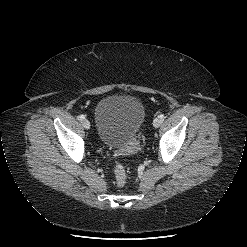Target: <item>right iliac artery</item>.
I'll use <instances>...</instances> for the list:
<instances>
[{
  "label": "right iliac artery",
  "instance_id": "obj_1",
  "mask_svg": "<svg viewBox=\"0 0 247 247\" xmlns=\"http://www.w3.org/2000/svg\"><path fill=\"white\" fill-rule=\"evenodd\" d=\"M79 119H80V120H83V119H85V116H84V115H80V116H79Z\"/></svg>",
  "mask_w": 247,
  "mask_h": 247
}]
</instances>
